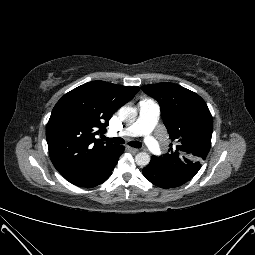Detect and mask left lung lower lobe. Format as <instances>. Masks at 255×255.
Returning <instances> with one entry per match:
<instances>
[{
  "instance_id": "0a47b994",
  "label": "left lung lower lobe",
  "mask_w": 255,
  "mask_h": 255,
  "mask_svg": "<svg viewBox=\"0 0 255 255\" xmlns=\"http://www.w3.org/2000/svg\"><path fill=\"white\" fill-rule=\"evenodd\" d=\"M142 172L147 180L160 188H174L181 186L188 181L171 175L151 163L143 168Z\"/></svg>"
}]
</instances>
